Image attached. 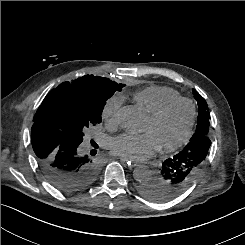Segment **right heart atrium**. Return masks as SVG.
I'll return each instance as SVG.
<instances>
[{
    "label": "right heart atrium",
    "instance_id": "d8ad5b80",
    "mask_svg": "<svg viewBox=\"0 0 245 245\" xmlns=\"http://www.w3.org/2000/svg\"><path fill=\"white\" fill-rule=\"evenodd\" d=\"M123 102L122 97L113 96L107 100L103 108V117L111 124H115L117 120V115L121 104Z\"/></svg>",
    "mask_w": 245,
    "mask_h": 245
}]
</instances>
